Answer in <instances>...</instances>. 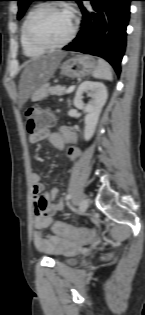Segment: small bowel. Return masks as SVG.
<instances>
[{"label":"small bowel","instance_id":"small-bowel-1","mask_svg":"<svg viewBox=\"0 0 145 315\" xmlns=\"http://www.w3.org/2000/svg\"><path fill=\"white\" fill-rule=\"evenodd\" d=\"M47 138L54 148L62 150L65 144H71L75 141L76 135L68 128H61L52 133L48 129H44L30 134L29 142L35 144ZM67 155L74 160L79 156V152L73 146H69ZM31 183L34 196L35 230L33 232V243L36 249L46 253H68L76 251L82 244L89 242L90 237L81 239L60 238L56 235L48 236L44 233L43 229L57 222L53 217L57 211L65 207V202L63 200L54 202L59 192L56 187L51 188L47 193L43 192V184L39 173H31Z\"/></svg>","mask_w":145,"mask_h":315}]
</instances>
